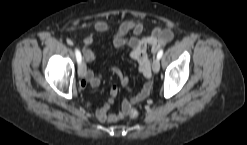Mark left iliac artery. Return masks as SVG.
Returning <instances> with one entry per match:
<instances>
[{"mask_svg":"<svg viewBox=\"0 0 247 145\" xmlns=\"http://www.w3.org/2000/svg\"><path fill=\"white\" fill-rule=\"evenodd\" d=\"M162 56H163V50L161 49L157 54V58L161 59Z\"/></svg>","mask_w":247,"mask_h":145,"instance_id":"44dca946","label":"left iliac artery"}]
</instances>
